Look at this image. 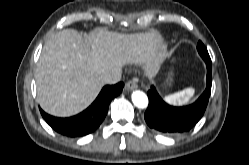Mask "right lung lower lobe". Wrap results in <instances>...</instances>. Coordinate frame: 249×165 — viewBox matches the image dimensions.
<instances>
[{
  "mask_svg": "<svg viewBox=\"0 0 249 165\" xmlns=\"http://www.w3.org/2000/svg\"><path fill=\"white\" fill-rule=\"evenodd\" d=\"M123 87V82L116 85H106L96 100L86 110L73 117H53L42 109H40V112L44 120L56 132L68 137L85 136L100 126L107 114L111 100L121 93Z\"/></svg>",
  "mask_w": 249,
  "mask_h": 165,
  "instance_id": "right-lung-lower-lobe-1",
  "label": "right lung lower lobe"
}]
</instances>
